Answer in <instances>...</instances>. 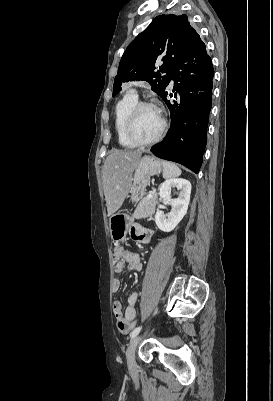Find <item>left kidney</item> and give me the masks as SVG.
I'll use <instances>...</instances> for the list:
<instances>
[{
	"mask_svg": "<svg viewBox=\"0 0 273 401\" xmlns=\"http://www.w3.org/2000/svg\"><path fill=\"white\" fill-rule=\"evenodd\" d=\"M173 186H176L177 190H180L177 198H170L169 190ZM159 190L160 198H167V201H170L171 211L168 215H164L163 211H157L155 223L160 231L170 233L187 213L191 194V182L186 180V178H169V180L162 182Z\"/></svg>",
	"mask_w": 273,
	"mask_h": 401,
	"instance_id": "obj_1",
	"label": "left kidney"
}]
</instances>
